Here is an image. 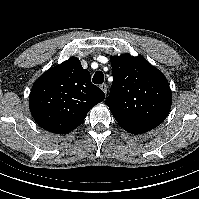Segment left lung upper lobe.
<instances>
[{"instance_id":"obj_1","label":"left lung upper lobe","mask_w":199,"mask_h":199,"mask_svg":"<svg viewBox=\"0 0 199 199\" xmlns=\"http://www.w3.org/2000/svg\"><path fill=\"white\" fill-rule=\"evenodd\" d=\"M114 81L106 105L127 132L141 134L167 117L172 93L166 77L144 57H111Z\"/></svg>"}]
</instances>
